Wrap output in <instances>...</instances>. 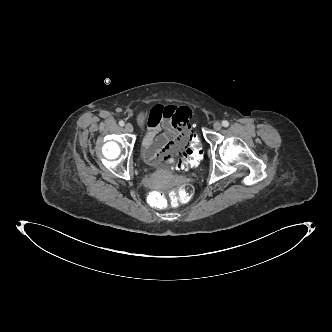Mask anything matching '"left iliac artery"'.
I'll use <instances>...</instances> for the list:
<instances>
[{"mask_svg": "<svg viewBox=\"0 0 332 332\" xmlns=\"http://www.w3.org/2000/svg\"><path fill=\"white\" fill-rule=\"evenodd\" d=\"M222 125L224 127H228L229 126V122L227 120H224V121H222Z\"/></svg>", "mask_w": 332, "mask_h": 332, "instance_id": "1", "label": "left iliac artery"}]
</instances>
